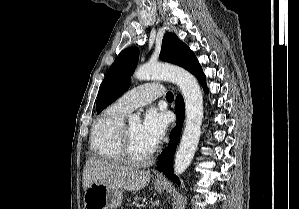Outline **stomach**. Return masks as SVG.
<instances>
[{"mask_svg": "<svg viewBox=\"0 0 299 209\" xmlns=\"http://www.w3.org/2000/svg\"><path fill=\"white\" fill-rule=\"evenodd\" d=\"M157 191H163L165 185L155 183ZM122 203V190L103 183L93 182L84 195V209H117Z\"/></svg>", "mask_w": 299, "mask_h": 209, "instance_id": "0dacf381", "label": "stomach"}]
</instances>
